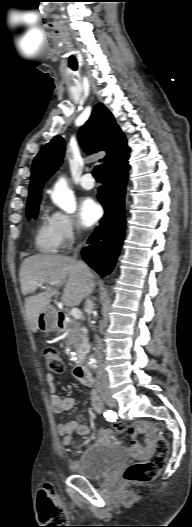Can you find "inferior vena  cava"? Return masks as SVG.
Segmentation results:
<instances>
[{"label":"inferior vena cava","instance_id":"inferior-vena-cava-1","mask_svg":"<svg viewBox=\"0 0 192 527\" xmlns=\"http://www.w3.org/2000/svg\"><path fill=\"white\" fill-rule=\"evenodd\" d=\"M80 247V245H79ZM77 251V250H76ZM77 257V252L74 253V256L73 258L76 259ZM89 295L90 293H88L87 295V299H86V302H85V309L86 311L88 312L89 316H88V322H89V326L91 327V329L93 331H96V327L94 326L93 322L91 321V317H90V314L93 310V307H94V304L92 302V300L89 298ZM95 338H96V345H97V361H98V369H97V375H96V384L98 387H102V386H107L108 385V376H107V373L105 371V368L104 366L102 365V340L100 339V337L98 335H95Z\"/></svg>","mask_w":192,"mask_h":527}]
</instances>
